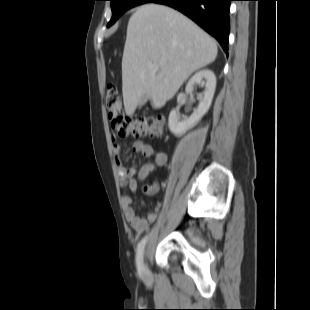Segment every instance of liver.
Masks as SVG:
<instances>
[{
    "mask_svg": "<svg viewBox=\"0 0 310 310\" xmlns=\"http://www.w3.org/2000/svg\"><path fill=\"white\" fill-rule=\"evenodd\" d=\"M217 52L215 40L178 11L158 4L139 7L128 22L122 58L126 114L135 112L142 97L150 98L155 109L163 107Z\"/></svg>",
    "mask_w": 310,
    "mask_h": 310,
    "instance_id": "obj_1",
    "label": "liver"
}]
</instances>
